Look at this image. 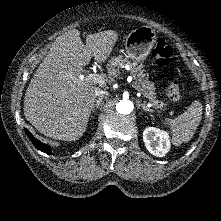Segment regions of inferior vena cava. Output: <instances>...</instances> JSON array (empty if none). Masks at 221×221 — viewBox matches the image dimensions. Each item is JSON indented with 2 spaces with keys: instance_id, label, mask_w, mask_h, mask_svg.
I'll return each mask as SVG.
<instances>
[{
  "instance_id": "602c4592",
  "label": "inferior vena cava",
  "mask_w": 221,
  "mask_h": 221,
  "mask_svg": "<svg viewBox=\"0 0 221 221\" xmlns=\"http://www.w3.org/2000/svg\"><path fill=\"white\" fill-rule=\"evenodd\" d=\"M105 94H107L106 91L101 90V89H99V88H96V89H95V95H96V96L102 97V96L105 95Z\"/></svg>"
}]
</instances>
